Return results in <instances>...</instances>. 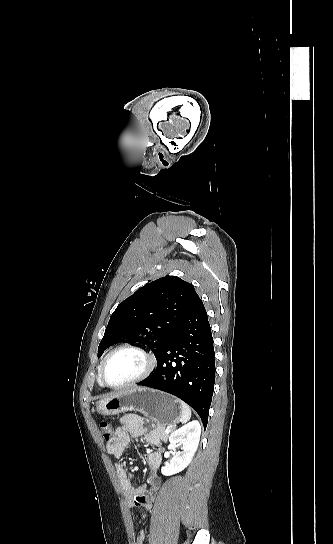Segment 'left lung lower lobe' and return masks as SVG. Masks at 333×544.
<instances>
[{
	"label": "left lung lower lobe",
	"instance_id": "left-lung-lower-lobe-1",
	"mask_svg": "<svg viewBox=\"0 0 333 544\" xmlns=\"http://www.w3.org/2000/svg\"><path fill=\"white\" fill-rule=\"evenodd\" d=\"M215 380V353L211 327L199 299L176 327L157 358L154 373L138 383L173 394L208 422Z\"/></svg>",
	"mask_w": 333,
	"mask_h": 544
}]
</instances>
